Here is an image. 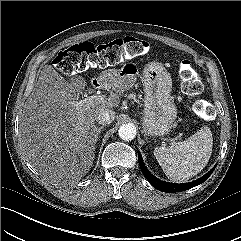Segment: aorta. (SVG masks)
I'll list each match as a JSON object with an SVG mask.
<instances>
[{"mask_svg":"<svg viewBox=\"0 0 241 241\" xmlns=\"http://www.w3.org/2000/svg\"><path fill=\"white\" fill-rule=\"evenodd\" d=\"M118 135L125 141H131L136 136V127L131 124H122L118 130Z\"/></svg>","mask_w":241,"mask_h":241,"instance_id":"762f6f07","label":"aorta"}]
</instances>
